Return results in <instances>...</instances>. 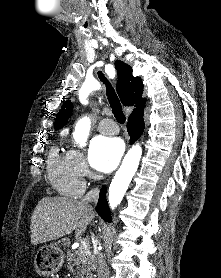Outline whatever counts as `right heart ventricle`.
<instances>
[{"label":"right heart ventricle","instance_id":"obj_1","mask_svg":"<svg viewBox=\"0 0 221 278\" xmlns=\"http://www.w3.org/2000/svg\"><path fill=\"white\" fill-rule=\"evenodd\" d=\"M48 174L53 187L62 195L78 197L84 191V181L76 172L68 152L57 147L51 150L48 159Z\"/></svg>","mask_w":221,"mask_h":278}]
</instances>
